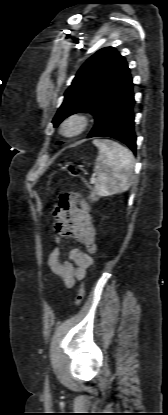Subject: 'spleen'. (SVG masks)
<instances>
[{
    "mask_svg": "<svg viewBox=\"0 0 168 415\" xmlns=\"http://www.w3.org/2000/svg\"><path fill=\"white\" fill-rule=\"evenodd\" d=\"M98 157L94 166L97 173L95 192L99 196H110L126 192L131 185L134 172V156L129 149L111 140L95 139Z\"/></svg>",
    "mask_w": 168,
    "mask_h": 415,
    "instance_id": "1",
    "label": "spleen"
}]
</instances>
